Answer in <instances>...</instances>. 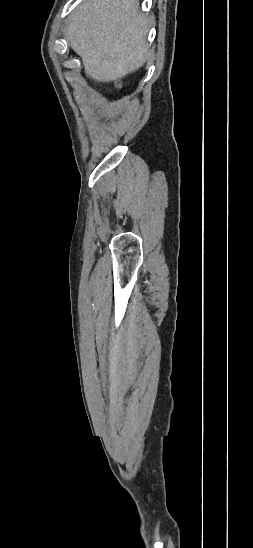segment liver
<instances>
[{
    "instance_id": "obj_1",
    "label": "liver",
    "mask_w": 253,
    "mask_h": 548,
    "mask_svg": "<svg viewBox=\"0 0 253 548\" xmlns=\"http://www.w3.org/2000/svg\"><path fill=\"white\" fill-rule=\"evenodd\" d=\"M148 31L137 0H85L72 13L65 36L86 74L109 82L144 65Z\"/></svg>"
}]
</instances>
